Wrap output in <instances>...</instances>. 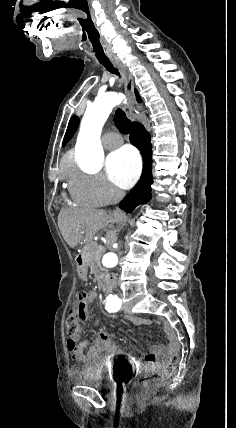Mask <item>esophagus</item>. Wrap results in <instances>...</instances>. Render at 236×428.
<instances>
[{"mask_svg": "<svg viewBox=\"0 0 236 428\" xmlns=\"http://www.w3.org/2000/svg\"><path fill=\"white\" fill-rule=\"evenodd\" d=\"M114 64L121 70L123 75L126 77L125 84V95L127 97V103L124 107V112L128 117H131L132 113V102L134 98V77L132 73H130L125 65L120 62L114 61Z\"/></svg>", "mask_w": 236, "mask_h": 428, "instance_id": "1", "label": "esophagus"}]
</instances>
